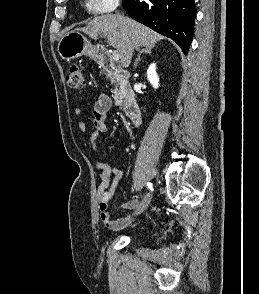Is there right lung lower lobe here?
Returning a JSON list of instances; mask_svg holds the SVG:
<instances>
[{
  "label": "right lung lower lobe",
  "instance_id": "98d812e1",
  "mask_svg": "<svg viewBox=\"0 0 259 294\" xmlns=\"http://www.w3.org/2000/svg\"><path fill=\"white\" fill-rule=\"evenodd\" d=\"M133 19L173 39L187 54L193 39L195 0H123Z\"/></svg>",
  "mask_w": 259,
  "mask_h": 294
}]
</instances>
